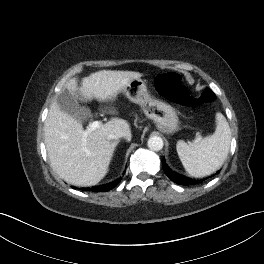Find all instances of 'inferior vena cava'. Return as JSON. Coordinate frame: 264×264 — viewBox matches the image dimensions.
<instances>
[{
	"mask_svg": "<svg viewBox=\"0 0 264 264\" xmlns=\"http://www.w3.org/2000/svg\"><path fill=\"white\" fill-rule=\"evenodd\" d=\"M124 135L122 133H110L107 136L108 140H115V139H119L121 137H123Z\"/></svg>",
	"mask_w": 264,
	"mask_h": 264,
	"instance_id": "inferior-vena-cava-1",
	"label": "inferior vena cava"
}]
</instances>
